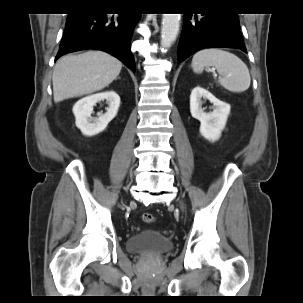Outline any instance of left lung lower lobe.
<instances>
[{"instance_id": "0a47b994", "label": "left lung lower lobe", "mask_w": 303, "mask_h": 303, "mask_svg": "<svg viewBox=\"0 0 303 303\" xmlns=\"http://www.w3.org/2000/svg\"><path fill=\"white\" fill-rule=\"evenodd\" d=\"M212 47L235 48L247 52L237 14L216 11L198 16L185 14L177 49L178 61L182 62L196 51Z\"/></svg>"}]
</instances>
